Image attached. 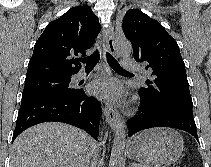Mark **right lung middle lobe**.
<instances>
[{"label": "right lung middle lobe", "mask_w": 211, "mask_h": 167, "mask_svg": "<svg viewBox=\"0 0 211 167\" xmlns=\"http://www.w3.org/2000/svg\"><path fill=\"white\" fill-rule=\"evenodd\" d=\"M71 76H50L25 81L22 96L43 93H66L75 90L69 86Z\"/></svg>", "instance_id": "obj_1"}]
</instances>
